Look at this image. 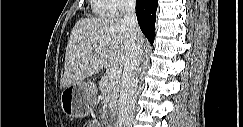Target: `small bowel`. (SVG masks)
<instances>
[{
  "label": "small bowel",
  "mask_w": 243,
  "mask_h": 127,
  "mask_svg": "<svg viewBox=\"0 0 243 127\" xmlns=\"http://www.w3.org/2000/svg\"><path fill=\"white\" fill-rule=\"evenodd\" d=\"M88 127H99V124H98V122H96V121H91V122L88 124Z\"/></svg>",
  "instance_id": "1"
}]
</instances>
